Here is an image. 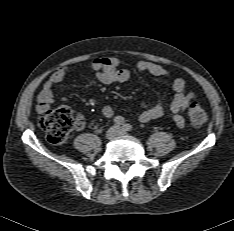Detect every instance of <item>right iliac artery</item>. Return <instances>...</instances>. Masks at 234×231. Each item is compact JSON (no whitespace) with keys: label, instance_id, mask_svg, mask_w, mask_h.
I'll return each mask as SVG.
<instances>
[{"label":"right iliac artery","instance_id":"obj_1","mask_svg":"<svg viewBox=\"0 0 234 231\" xmlns=\"http://www.w3.org/2000/svg\"><path fill=\"white\" fill-rule=\"evenodd\" d=\"M114 123L117 124V125H124L125 123V119L122 117V116H116L114 119H113Z\"/></svg>","mask_w":234,"mask_h":231}]
</instances>
